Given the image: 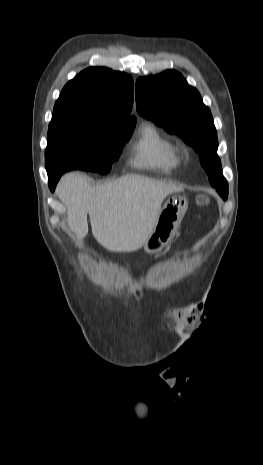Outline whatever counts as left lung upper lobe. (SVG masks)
Segmentation results:
<instances>
[{
    "label": "left lung upper lobe",
    "mask_w": 263,
    "mask_h": 465,
    "mask_svg": "<svg viewBox=\"0 0 263 465\" xmlns=\"http://www.w3.org/2000/svg\"><path fill=\"white\" fill-rule=\"evenodd\" d=\"M136 105L140 115L152 119L168 132L178 134L193 146L200 159L213 157L219 160L217 132L210 109L179 72L167 70L156 76L139 78L136 82ZM210 183L226 200L228 183L222 170L214 176V183Z\"/></svg>",
    "instance_id": "1"
}]
</instances>
